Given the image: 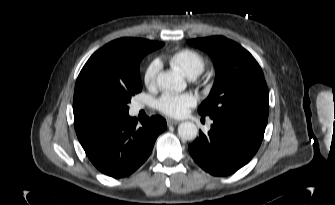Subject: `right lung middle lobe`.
Listing matches in <instances>:
<instances>
[{
    "instance_id": "dd1d6c3e",
    "label": "right lung middle lobe",
    "mask_w": 335,
    "mask_h": 205,
    "mask_svg": "<svg viewBox=\"0 0 335 205\" xmlns=\"http://www.w3.org/2000/svg\"><path fill=\"white\" fill-rule=\"evenodd\" d=\"M159 47L137 51L131 58L130 70L120 80L94 83L83 89L75 103L74 124L90 126L127 115L132 96L142 90L139 63L146 54Z\"/></svg>"
}]
</instances>
